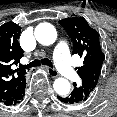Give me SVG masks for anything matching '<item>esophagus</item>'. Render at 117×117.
Returning <instances> with one entry per match:
<instances>
[{"label":"esophagus","mask_w":117,"mask_h":117,"mask_svg":"<svg viewBox=\"0 0 117 117\" xmlns=\"http://www.w3.org/2000/svg\"><path fill=\"white\" fill-rule=\"evenodd\" d=\"M48 74L52 77V78H56L58 76V72L51 67H46Z\"/></svg>","instance_id":"esophagus-1"}]
</instances>
